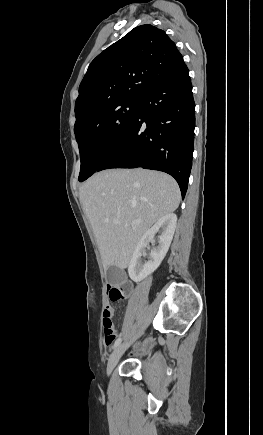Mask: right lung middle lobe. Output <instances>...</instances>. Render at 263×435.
Wrapping results in <instances>:
<instances>
[{
    "mask_svg": "<svg viewBox=\"0 0 263 435\" xmlns=\"http://www.w3.org/2000/svg\"><path fill=\"white\" fill-rule=\"evenodd\" d=\"M141 102V99H126L111 103L74 128L81 159L80 182L94 174L117 147L132 125Z\"/></svg>",
    "mask_w": 263,
    "mask_h": 435,
    "instance_id": "right-lung-middle-lobe-1",
    "label": "right lung middle lobe"
}]
</instances>
